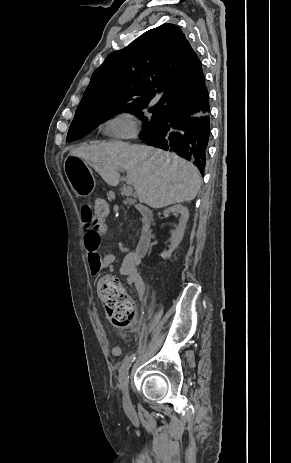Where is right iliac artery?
Here are the masks:
<instances>
[{"label": "right iliac artery", "mask_w": 291, "mask_h": 463, "mask_svg": "<svg viewBox=\"0 0 291 463\" xmlns=\"http://www.w3.org/2000/svg\"><path fill=\"white\" fill-rule=\"evenodd\" d=\"M136 359V354L131 355L122 365L120 370V383L121 386H127L129 382L128 370L134 360Z\"/></svg>", "instance_id": "1"}]
</instances>
